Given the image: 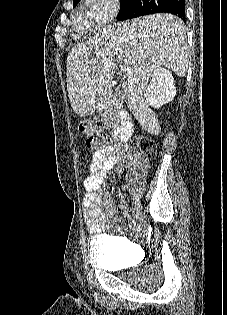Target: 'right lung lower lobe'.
Listing matches in <instances>:
<instances>
[{
    "label": "right lung lower lobe",
    "mask_w": 227,
    "mask_h": 315,
    "mask_svg": "<svg viewBox=\"0 0 227 315\" xmlns=\"http://www.w3.org/2000/svg\"><path fill=\"white\" fill-rule=\"evenodd\" d=\"M155 13H171L186 22L185 0H131L130 2H123L120 4L117 19L123 21Z\"/></svg>",
    "instance_id": "1"
}]
</instances>
